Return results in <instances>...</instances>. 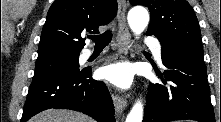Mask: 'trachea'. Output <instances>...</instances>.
<instances>
[{"label":"trachea","mask_w":221,"mask_h":122,"mask_svg":"<svg viewBox=\"0 0 221 122\" xmlns=\"http://www.w3.org/2000/svg\"><path fill=\"white\" fill-rule=\"evenodd\" d=\"M89 38L94 41L95 47H105L110 43L112 39V33L111 31H106L101 35L89 36Z\"/></svg>","instance_id":"3493384b"}]
</instances>
